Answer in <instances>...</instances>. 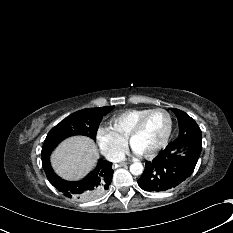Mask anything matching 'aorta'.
Segmentation results:
<instances>
[{"instance_id": "obj_1", "label": "aorta", "mask_w": 233, "mask_h": 233, "mask_svg": "<svg viewBox=\"0 0 233 233\" xmlns=\"http://www.w3.org/2000/svg\"><path fill=\"white\" fill-rule=\"evenodd\" d=\"M130 172L133 175H141L143 172V165L139 162L133 163L130 165Z\"/></svg>"}]
</instances>
